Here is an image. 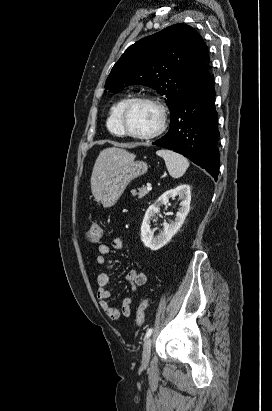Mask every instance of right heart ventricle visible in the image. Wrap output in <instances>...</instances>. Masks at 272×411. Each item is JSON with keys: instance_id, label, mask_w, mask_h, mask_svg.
<instances>
[{"instance_id": "e07e8e85", "label": "right heart ventricle", "mask_w": 272, "mask_h": 411, "mask_svg": "<svg viewBox=\"0 0 272 411\" xmlns=\"http://www.w3.org/2000/svg\"><path fill=\"white\" fill-rule=\"evenodd\" d=\"M129 99L128 96L122 97L119 100H117L110 108L108 117L106 120V127L109 130V132L113 135L116 136H123L122 131L119 126V113L123 105L126 103V101Z\"/></svg>"}]
</instances>
